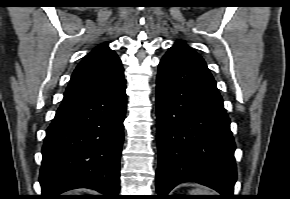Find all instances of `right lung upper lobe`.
<instances>
[{
  "label": "right lung upper lobe",
  "instance_id": "cb5924a9",
  "mask_svg": "<svg viewBox=\"0 0 290 199\" xmlns=\"http://www.w3.org/2000/svg\"><path fill=\"white\" fill-rule=\"evenodd\" d=\"M124 81L122 63L106 44L93 49L74 70L63 102L93 96Z\"/></svg>",
  "mask_w": 290,
  "mask_h": 199
}]
</instances>
